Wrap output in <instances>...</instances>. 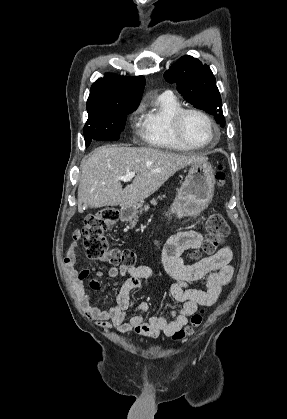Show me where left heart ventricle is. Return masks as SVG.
Returning <instances> with one entry per match:
<instances>
[{"label": "left heart ventricle", "instance_id": "1", "mask_svg": "<svg viewBox=\"0 0 287 419\" xmlns=\"http://www.w3.org/2000/svg\"><path fill=\"white\" fill-rule=\"evenodd\" d=\"M185 138L194 144H204L211 139V131L206 121L196 114H188L182 126Z\"/></svg>", "mask_w": 287, "mask_h": 419}]
</instances>
